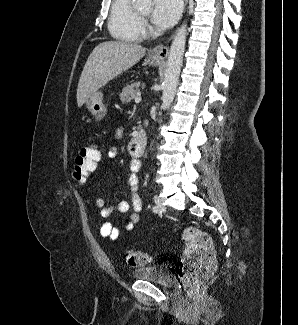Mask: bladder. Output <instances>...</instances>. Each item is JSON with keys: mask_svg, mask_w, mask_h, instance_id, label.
Masks as SVG:
<instances>
[{"mask_svg": "<svg viewBox=\"0 0 298 325\" xmlns=\"http://www.w3.org/2000/svg\"><path fill=\"white\" fill-rule=\"evenodd\" d=\"M135 280L148 281L163 287H172L174 279L172 275L162 266H143L132 273Z\"/></svg>", "mask_w": 298, "mask_h": 325, "instance_id": "obj_1", "label": "bladder"}]
</instances>
